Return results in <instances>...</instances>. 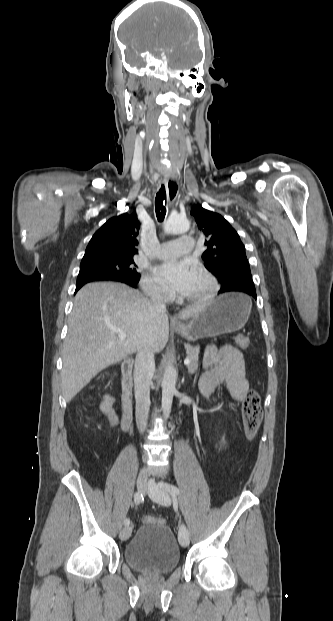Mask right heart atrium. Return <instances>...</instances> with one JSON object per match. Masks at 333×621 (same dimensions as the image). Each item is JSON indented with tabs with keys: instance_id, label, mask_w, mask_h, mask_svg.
Segmentation results:
<instances>
[{
	"instance_id": "1",
	"label": "right heart atrium",
	"mask_w": 333,
	"mask_h": 621,
	"mask_svg": "<svg viewBox=\"0 0 333 621\" xmlns=\"http://www.w3.org/2000/svg\"><path fill=\"white\" fill-rule=\"evenodd\" d=\"M141 286L145 294L156 300L165 301L170 297L169 290L150 274L143 277Z\"/></svg>"
}]
</instances>
